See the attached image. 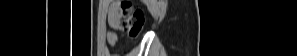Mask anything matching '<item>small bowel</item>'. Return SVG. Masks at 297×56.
Wrapping results in <instances>:
<instances>
[{
    "instance_id": "1",
    "label": "small bowel",
    "mask_w": 297,
    "mask_h": 56,
    "mask_svg": "<svg viewBox=\"0 0 297 56\" xmlns=\"http://www.w3.org/2000/svg\"><path fill=\"white\" fill-rule=\"evenodd\" d=\"M118 5L113 4L110 7L109 13H108V23L113 29L119 28V22H120V16L118 14ZM107 40L110 45H114L116 42V34L111 31L107 35Z\"/></svg>"
}]
</instances>
